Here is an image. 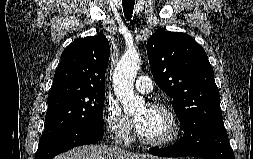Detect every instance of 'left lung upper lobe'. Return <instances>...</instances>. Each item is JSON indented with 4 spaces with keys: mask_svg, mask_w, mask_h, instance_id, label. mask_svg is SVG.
Instances as JSON below:
<instances>
[{
    "mask_svg": "<svg viewBox=\"0 0 253 159\" xmlns=\"http://www.w3.org/2000/svg\"><path fill=\"white\" fill-rule=\"evenodd\" d=\"M147 54L153 77L172 99L184 135L222 119L213 68L191 36L159 29L148 39Z\"/></svg>",
    "mask_w": 253,
    "mask_h": 159,
    "instance_id": "obj_1",
    "label": "left lung upper lobe"
}]
</instances>
